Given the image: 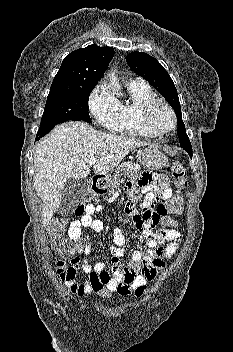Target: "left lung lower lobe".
Here are the masks:
<instances>
[{
	"instance_id": "0a47b994",
	"label": "left lung lower lobe",
	"mask_w": 233,
	"mask_h": 352,
	"mask_svg": "<svg viewBox=\"0 0 233 352\" xmlns=\"http://www.w3.org/2000/svg\"><path fill=\"white\" fill-rule=\"evenodd\" d=\"M189 156H190V157H192V152H191V153H189Z\"/></svg>"
}]
</instances>
